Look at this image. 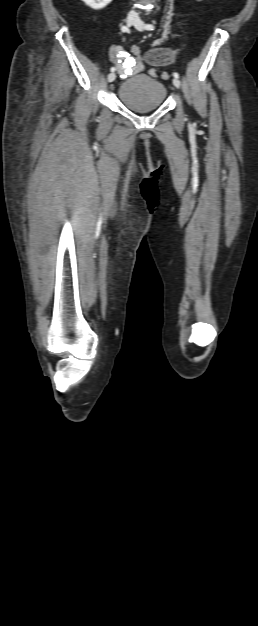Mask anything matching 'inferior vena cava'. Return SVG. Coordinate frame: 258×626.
Returning <instances> with one entry per match:
<instances>
[{"instance_id":"1","label":"inferior vena cava","mask_w":258,"mask_h":626,"mask_svg":"<svg viewBox=\"0 0 258 626\" xmlns=\"http://www.w3.org/2000/svg\"><path fill=\"white\" fill-rule=\"evenodd\" d=\"M136 15H137V14H136V12H135V11H131V12L129 13V16H131V17H135Z\"/></svg>"}]
</instances>
